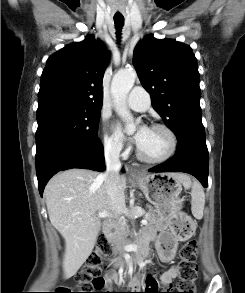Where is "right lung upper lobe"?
Returning a JSON list of instances; mask_svg holds the SVG:
<instances>
[{
	"label": "right lung upper lobe",
	"instance_id": "obj_1",
	"mask_svg": "<svg viewBox=\"0 0 245 293\" xmlns=\"http://www.w3.org/2000/svg\"><path fill=\"white\" fill-rule=\"evenodd\" d=\"M107 64L104 44L91 35L57 51L41 75L38 110L52 106L100 109Z\"/></svg>",
	"mask_w": 245,
	"mask_h": 293
}]
</instances>
